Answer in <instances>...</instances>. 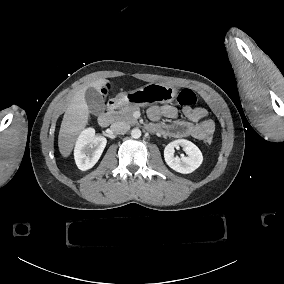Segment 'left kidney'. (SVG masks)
Here are the masks:
<instances>
[{
	"label": "left kidney",
	"mask_w": 284,
	"mask_h": 284,
	"mask_svg": "<svg viewBox=\"0 0 284 284\" xmlns=\"http://www.w3.org/2000/svg\"><path fill=\"white\" fill-rule=\"evenodd\" d=\"M181 146L186 157L178 158L174 155L175 149ZM166 164L176 172L190 174L198 169L203 162V155L200 149L192 142L185 139H178L168 144L164 151Z\"/></svg>",
	"instance_id": "5707ae66"
}]
</instances>
